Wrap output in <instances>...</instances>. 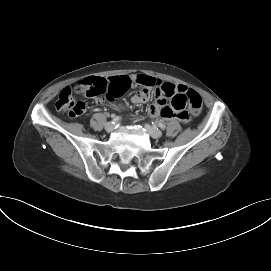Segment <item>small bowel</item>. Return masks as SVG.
Here are the masks:
<instances>
[{"mask_svg":"<svg viewBox=\"0 0 271 271\" xmlns=\"http://www.w3.org/2000/svg\"><path fill=\"white\" fill-rule=\"evenodd\" d=\"M81 85V93L95 98L99 103L103 102V98L110 102H117L123 95L133 91L138 85L141 88L131 97L132 103H146L153 94L156 97V102L148 108L151 116H160L164 119H178L182 122L189 120V114L185 109H178L172 102L170 104L167 102L168 98L187 92L188 89L184 85L163 82L145 74H125L121 77L108 78L89 77L84 79Z\"/></svg>","mask_w":271,"mask_h":271,"instance_id":"obj_1","label":"small bowel"}]
</instances>
